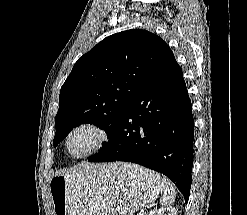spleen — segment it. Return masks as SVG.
Wrapping results in <instances>:
<instances>
[{"label": "spleen", "mask_w": 247, "mask_h": 215, "mask_svg": "<svg viewBox=\"0 0 247 215\" xmlns=\"http://www.w3.org/2000/svg\"><path fill=\"white\" fill-rule=\"evenodd\" d=\"M160 191L162 194L161 204L167 206L175 201L176 192L172 183L167 178L161 179Z\"/></svg>", "instance_id": "1"}]
</instances>
